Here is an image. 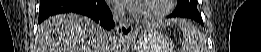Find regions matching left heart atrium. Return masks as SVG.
<instances>
[{
  "label": "left heart atrium",
  "mask_w": 261,
  "mask_h": 52,
  "mask_svg": "<svg viewBox=\"0 0 261 52\" xmlns=\"http://www.w3.org/2000/svg\"><path fill=\"white\" fill-rule=\"evenodd\" d=\"M117 4L127 7V8H133L136 4L138 5V3L140 1L138 0H116L115 1Z\"/></svg>",
  "instance_id": "39dd6f15"
}]
</instances>
